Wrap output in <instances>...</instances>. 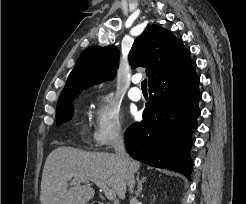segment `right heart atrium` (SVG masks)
Instances as JSON below:
<instances>
[{"instance_id": "1", "label": "right heart atrium", "mask_w": 246, "mask_h": 204, "mask_svg": "<svg viewBox=\"0 0 246 204\" xmlns=\"http://www.w3.org/2000/svg\"><path fill=\"white\" fill-rule=\"evenodd\" d=\"M124 135L120 107L110 95L95 98L92 109L91 139L99 148H106Z\"/></svg>"}]
</instances>
